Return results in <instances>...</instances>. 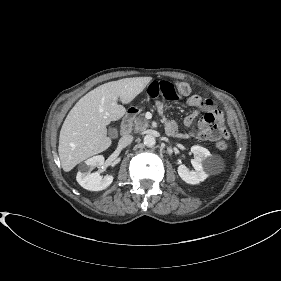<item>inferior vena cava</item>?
<instances>
[{
	"mask_svg": "<svg viewBox=\"0 0 281 281\" xmlns=\"http://www.w3.org/2000/svg\"><path fill=\"white\" fill-rule=\"evenodd\" d=\"M133 141V136L132 135H123L118 142V145L121 147H126L129 144H131V142Z\"/></svg>",
	"mask_w": 281,
	"mask_h": 281,
	"instance_id": "1",
	"label": "inferior vena cava"
}]
</instances>
